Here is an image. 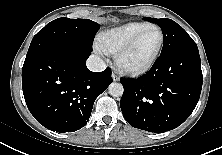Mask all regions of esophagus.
I'll return each mask as SVG.
<instances>
[{
    "label": "esophagus",
    "mask_w": 222,
    "mask_h": 155,
    "mask_svg": "<svg viewBox=\"0 0 222 155\" xmlns=\"http://www.w3.org/2000/svg\"><path fill=\"white\" fill-rule=\"evenodd\" d=\"M112 79H113V81H119L120 78L115 73H112Z\"/></svg>",
    "instance_id": "esophagus-1"
}]
</instances>
